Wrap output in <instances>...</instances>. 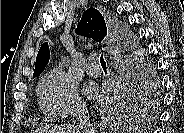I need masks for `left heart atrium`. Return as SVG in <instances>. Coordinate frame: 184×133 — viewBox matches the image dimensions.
<instances>
[{
  "instance_id": "39dd6f15",
  "label": "left heart atrium",
  "mask_w": 184,
  "mask_h": 133,
  "mask_svg": "<svg viewBox=\"0 0 184 133\" xmlns=\"http://www.w3.org/2000/svg\"><path fill=\"white\" fill-rule=\"evenodd\" d=\"M96 93L95 87L92 85H87L85 88V94L89 97H93Z\"/></svg>"
}]
</instances>
